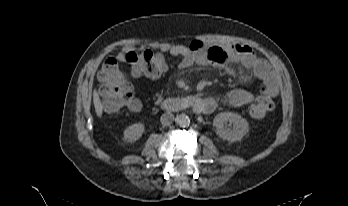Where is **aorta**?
Here are the masks:
<instances>
[{"mask_svg": "<svg viewBox=\"0 0 348 206\" xmlns=\"http://www.w3.org/2000/svg\"><path fill=\"white\" fill-rule=\"evenodd\" d=\"M176 123L180 126V127H185L190 123V119L186 114H180L177 116L176 118Z\"/></svg>", "mask_w": 348, "mask_h": 206, "instance_id": "1", "label": "aorta"}]
</instances>
